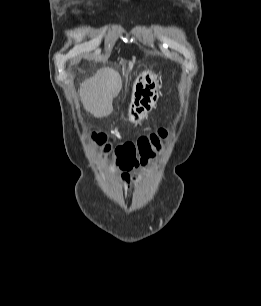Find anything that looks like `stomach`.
Returning <instances> with one entry per match:
<instances>
[{"instance_id": "1", "label": "stomach", "mask_w": 261, "mask_h": 306, "mask_svg": "<svg viewBox=\"0 0 261 306\" xmlns=\"http://www.w3.org/2000/svg\"><path fill=\"white\" fill-rule=\"evenodd\" d=\"M145 77V75H144ZM138 88H133L131 103L128 109L129 121L139 124L155 106L159 94V83L157 76L149 74V81L145 78Z\"/></svg>"}]
</instances>
